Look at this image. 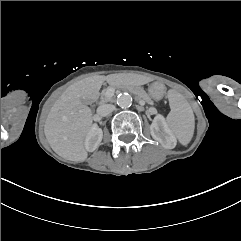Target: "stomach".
I'll return each instance as SVG.
<instances>
[{
    "label": "stomach",
    "mask_w": 241,
    "mask_h": 241,
    "mask_svg": "<svg viewBox=\"0 0 241 241\" xmlns=\"http://www.w3.org/2000/svg\"><path fill=\"white\" fill-rule=\"evenodd\" d=\"M148 93L154 100H160L166 93V87L161 82H154L149 86Z\"/></svg>",
    "instance_id": "1"
}]
</instances>
